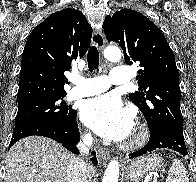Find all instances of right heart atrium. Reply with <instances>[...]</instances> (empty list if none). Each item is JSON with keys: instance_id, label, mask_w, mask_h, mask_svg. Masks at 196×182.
Listing matches in <instances>:
<instances>
[{"instance_id": "obj_1", "label": "right heart atrium", "mask_w": 196, "mask_h": 182, "mask_svg": "<svg viewBox=\"0 0 196 182\" xmlns=\"http://www.w3.org/2000/svg\"><path fill=\"white\" fill-rule=\"evenodd\" d=\"M84 139L87 140V141H90L92 138H91V135L89 133H85L84 134Z\"/></svg>"}]
</instances>
